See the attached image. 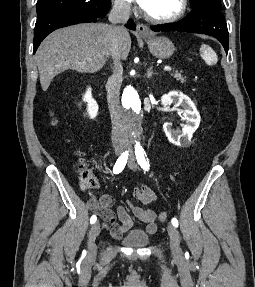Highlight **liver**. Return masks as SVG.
Masks as SVG:
<instances>
[{
  "label": "liver",
  "instance_id": "obj_1",
  "mask_svg": "<svg viewBox=\"0 0 255 287\" xmlns=\"http://www.w3.org/2000/svg\"><path fill=\"white\" fill-rule=\"evenodd\" d=\"M110 38V26L107 24H78L50 34L35 56L43 92L64 70H76L83 74L101 70L110 56ZM119 46L121 60H126L131 48L127 30L123 32Z\"/></svg>",
  "mask_w": 255,
  "mask_h": 287
}]
</instances>
